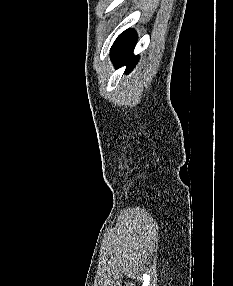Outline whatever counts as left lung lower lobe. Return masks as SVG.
<instances>
[{
	"label": "left lung lower lobe",
	"instance_id": "obj_1",
	"mask_svg": "<svg viewBox=\"0 0 233 286\" xmlns=\"http://www.w3.org/2000/svg\"><path fill=\"white\" fill-rule=\"evenodd\" d=\"M137 35L134 30L127 29L115 40L110 52L111 60L116 68L127 65L126 73H129L136 65L139 56H133Z\"/></svg>",
	"mask_w": 233,
	"mask_h": 286
}]
</instances>
